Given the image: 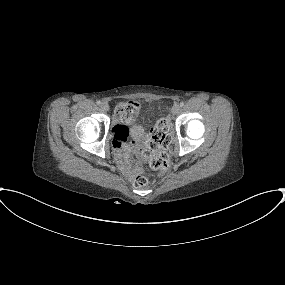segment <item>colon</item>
<instances>
[{"mask_svg": "<svg viewBox=\"0 0 285 285\" xmlns=\"http://www.w3.org/2000/svg\"><path fill=\"white\" fill-rule=\"evenodd\" d=\"M140 111V106L135 101H128L121 103L117 107V113L126 118H132L136 116ZM120 141L125 143L127 141L126 135L123 136ZM171 143L169 135V123L166 118H161L157 124L150 129L149 135L144 141L143 149L140 151V155L145 157L152 170L164 173L170 168V158L168 154L162 149L167 148ZM134 170L139 173L134 176L132 182L135 187H143L146 185L149 172L142 171V164L136 162L132 165Z\"/></svg>", "mask_w": 285, "mask_h": 285, "instance_id": "obj_1", "label": "colon"}]
</instances>
